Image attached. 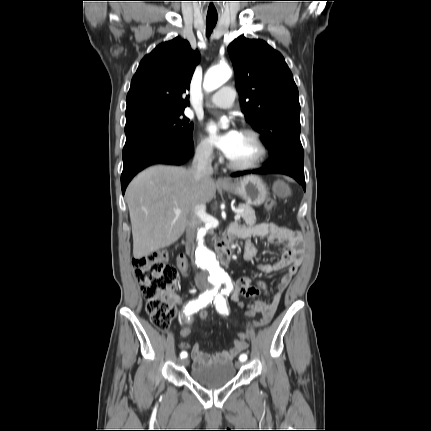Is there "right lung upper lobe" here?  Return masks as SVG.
<instances>
[{"label":"right lung upper lobe","mask_w":431,"mask_h":431,"mask_svg":"<svg viewBox=\"0 0 431 431\" xmlns=\"http://www.w3.org/2000/svg\"><path fill=\"white\" fill-rule=\"evenodd\" d=\"M199 61V52L179 37L158 45L141 60L132 78L126 120L152 112L184 111Z\"/></svg>","instance_id":"right-lung-upper-lobe-1"}]
</instances>
